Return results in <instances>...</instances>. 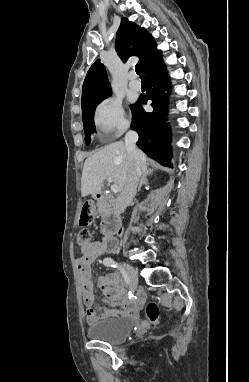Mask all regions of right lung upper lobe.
I'll return each mask as SVG.
<instances>
[{"label":"right lung upper lobe","mask_w":249,"mask_h":382,"mask_svg":"<svg viewBox=\"0 0 249 382\" xmlns=\"http://www.w3.org/2000/svg\"><path fill=\"white\" fill-rule=\"evenodd\" d=\"M116 51L125 61L130 56L139 57L138 64L145 72L147 67L161 54L151 35L144 29L122 18L116 35ZM111 94L107 73L100 60H97L87 72L82 88V110L92 101L107 98Z\"/></svg>","instance_id":"cb5924a9"}]
</instances>
